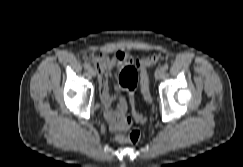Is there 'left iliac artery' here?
<instances>
[{"mask_svg":"<svg viewBox=\"0 0 243 167\" xmlns=\"http://www.w3.org/2000/svg\"><path fill=\"white\" fill-rule=\"evenodd\" d=\"M168 68H169V67H168L167 64H164L163 67H162V69H163L164 71L168 70Z\"/></svg>","mask_w":243,"mask_h":167,"instance_id":"1","label":"left iliac artery"}]
</instances>
